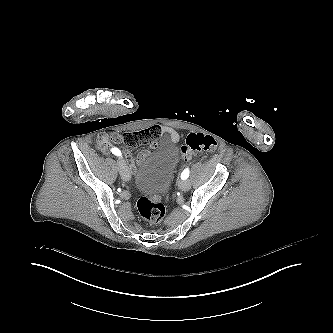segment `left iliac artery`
<instances>
[{
	"label": "left iliac artery",
	"mask_w": 333,
	"mask_h": 333,
	"mask_svg": "<svg viewBox=\"0 0 333 333\" xmlns=\"http://www.w3.org/2000/svg\"><path fill=\"white\" fill-rule=\"evenodd\" d=\"M189 177V168H186L182 174H181V178L182 179H187Z\"/></svg>",
	"instance_id": "44dca946"
}]
</instances>
